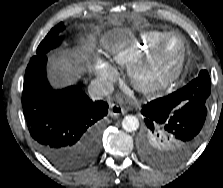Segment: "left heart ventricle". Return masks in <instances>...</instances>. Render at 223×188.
Here are the masks:
<instances>
[{
  "mask_svg": "<svg viewBox=\"0 0 223 188\" xmlns=\"http://www.w3.org/2000/svg\"><path fill=\"white\" fill-rule=\"evenodd\" d=\"M180 50V41L177 38L170 39L165 48V60L151 72L150 77H155L162 71L170 69L176 63Z\"/></svg>",
  "mask_w": 223,
  "mask_h": 188,
  "instance_id": "1",
  "label": "left heart ventricle"
}]
</instances>
